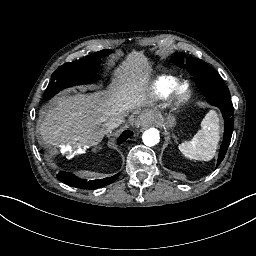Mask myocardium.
<instances>
[{"label": "myocardium", "instance_id": "f54148a6", "mask_svg": "<svg viewBox=\"0 0 256 256\" xmlns=\"http://www.w3.org/2000/svg\"><path fill=\"white\" fill-rule=\"evenodd\" d=\"M192 98V89L187 81L179 82L170 97V104L174 108L185 106Z\"/></svg>", "mask_w": 256, "mask_h": 256}]
</instances>
